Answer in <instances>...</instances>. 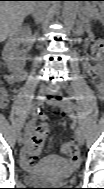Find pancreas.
Here are the masks:
<instances>
[{
    "mask_svg": "<svg viewBox=\"0 0 104 189\" xmlns=\"http://www.w3.org/2000/svg\"><path fill=\"white\" fill-rule=\"evenodd\" d=\"M88 15H89L90 17H93L94 19L99 18V15H98L97 13H95L94 11L89 12Z\"/></svg>",
    "mask_w": 104,
    "mask_h": 189,
    "instance_id": "obj_1",
    "label": "pancreas"
}]
</instances>
